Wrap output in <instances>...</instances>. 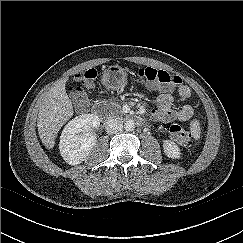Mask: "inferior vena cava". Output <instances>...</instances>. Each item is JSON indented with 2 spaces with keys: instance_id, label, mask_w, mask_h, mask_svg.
Wrapping results in <instances>:
<instances>
[{
  "instance_id": "602c4592",
  "label": "inferior vena cava",
  "mask_w": 243,
  "mask_h": 243,
  "mask_svg": "<svg viewBox=\"0 0 243 243\" xmlns=\"http://www.w3.org/2000/svg\"><path fill=\"white\" fill-rule=\"evenodd\" d=\"M106 132L108 134H116L123 129V123L119 119H108L105 125Z\"/></svg>"
}]
</instances>
